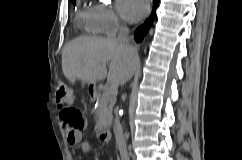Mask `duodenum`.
Segmentation results:
<instances>
[{"label":"duodenum","instance_id":"410a0bca","mask_svg":"<svg viewBox=\"0 0 242 160\" xmlns=\"http://www.w3.org/2000/svg\"><path fill=\"white\" fill-rule=\"evenodd\" d=\"M98 139L101 142H108L110 140V131L108 129H102L98 133Z\"/></svg>","mask_w":242,"mask_h":160}]
</instances>
